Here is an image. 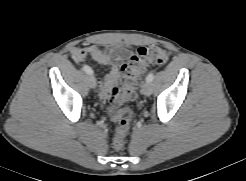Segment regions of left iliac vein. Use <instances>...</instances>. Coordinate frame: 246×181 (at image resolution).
Listing matches in <instances>:
<instances>
[{"mask_svg": "<svg viewBox=\"0 0 246 181\" xmlns=\"http://www.w3.org/2000/svg\"><path fill=\"white\" fill-rule=\"evenodd\" d=\"M141 93L143 95L149 96L152 93V86L150 82H144L141 85Z\"/></svg>", "mask_w": 246, "mask_h": 181, "instance_id": "obj_1", "label": "left iliac vein"}]
</instances>
